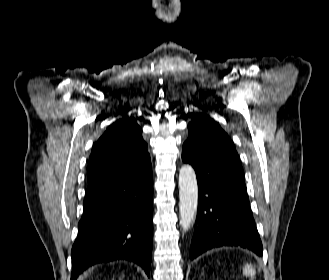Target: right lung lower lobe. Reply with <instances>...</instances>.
I'll use <instances>...</instances> for the list:
<instances>
[{
  "instance_id": "1",
  "label": "right lung lower lobe",
  "mask_w": 329,
  "mask_h": 280,
  "mask_svg": "<svg viewBox=\"0 0 329 280\" xmlns=\"http://www.w3.org/2000/svg\"><path fill=\"white\" fill-rule=\"evenodd\" d=\"M78 237L71 251V280L87 267L126 259L149 277L153 238V176L113 174L88 183Z\"/></svg>"
}]
</instances>
